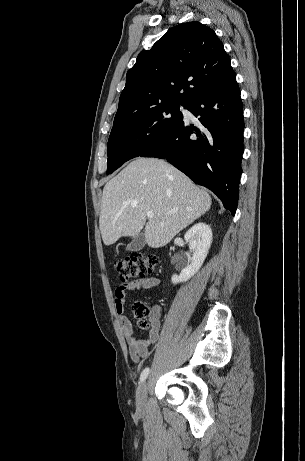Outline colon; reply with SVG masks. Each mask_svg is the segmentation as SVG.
<instances>
[{"instance_id":"obj_1","label":"colon","mask_w":305,"mask_h":461,"mask_svg":"<svg viewBox=\"0 0 305 461\" xmlns=\"http://www.w3.org/2000/svg\"><path fill=\"white\" fill-rule=\"evenodd\" d=\"M157 265L158 258L156 256L136 253L117 260L114 263V269L121 281H129L138 277H149ZM132 311L134 316L141 320V326L147 328L150 324L147 319L151 316V311L147 304L142 301H136L133 303Z\"/></svg>"}]
</instances>
